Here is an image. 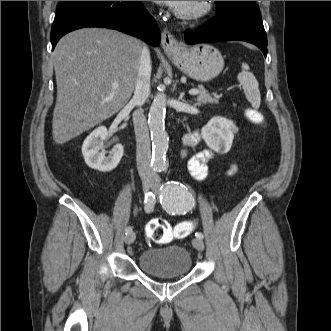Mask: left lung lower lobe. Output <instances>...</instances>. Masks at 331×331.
Returning <instances> with one entry per match:
<instances>
[{"mask_svg":"<svg viewBox=\"0 0 331 331\" xmlns=\"http://www.w3.org/2000/svg\"><path fill=\"white\" fill-rule=\"evenodd\" d=\"M184 39L189 44L246 41L255 44L267 56V37L257 5L226 9L198 30L186 31Z\"/></svg>","mask_w":331,"mask_h":331,"instance_id":"obj_1","label":"left lung lower lobe"}]
</instances>
